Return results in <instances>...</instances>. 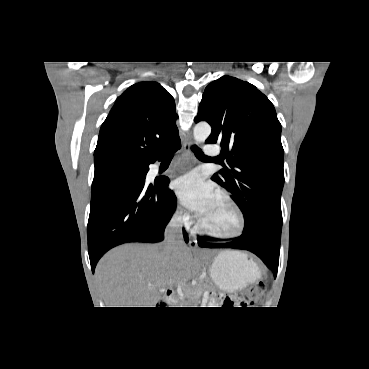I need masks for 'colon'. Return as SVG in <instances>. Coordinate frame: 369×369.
Here are the masks:
<instances>
[{
	"instance_id": "1",
	"label": "colon",
	"mask_w": 369,
	"mask_h": 369,
	"mask_svg": "<svg viewBox=\"0 0 369 369\" xmlns=\"http://www.w3.org/2000/svg\"><path fill=\"white\" fill-rule=\"evenodd\" d=\"M263 295L264 286L262 283H258L245 289L238 296H223L220 302L224 307H248L259 304Z\"/></svg>"
}]
</instances>
